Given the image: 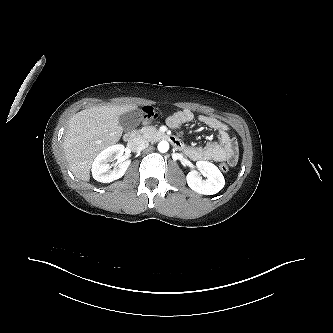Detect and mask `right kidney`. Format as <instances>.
Here are the masks:
<instances>
[{
  "instance_id": "1",
  "label": "right kidney",
  "mask_w": 333,
  "mask_h": 333,
  "mask_svg": "<svg viewBox=\"0 0 333 333\" xmlns=\"http://www.w3.org/2000/svg\"><path fill=\"white\" fill-rule=\"evenodd\" d=\"M123 153L122 144L112 145L99 153L92 164L93 178L102 183H110L121 178L131 163L130 160L122 159ZM114 157L118 160L116 163H110ZM112 166L114 169H111Z\"/></svg>"
}]
</instances>
